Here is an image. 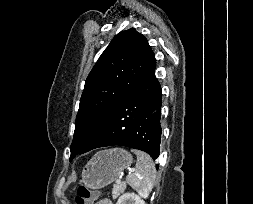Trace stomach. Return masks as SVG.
Returning <instances> with one entry per match:
<instances>
[{
  "mask_svg": "<svg viewBox=\"0 0 253 204\" xmlns=\"http://www.w3.org/2000/svg\"><path fill=\"white\" fill-rule=\"evenodd\" d=\"M132 155L122 148L96 153L82 171V183L89 189H101L116 181L132 164Z\"/></svg>",
  "mask_w": 253,
  "mask_h": 204,
  "instance_id": "0dacf381",
  "label": "stomach"
}]
</instances>
